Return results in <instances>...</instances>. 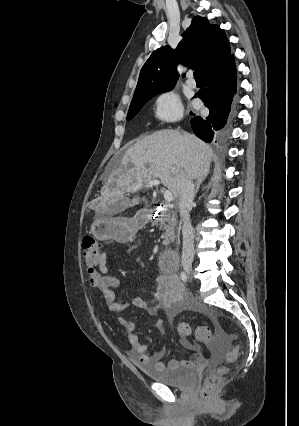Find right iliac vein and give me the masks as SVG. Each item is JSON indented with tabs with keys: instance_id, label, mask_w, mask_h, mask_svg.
Instances as JSON below:
<instances>
[{
	"instance_id": "63e3f726",
	"label": "right iliac vein",
	"mask_w": 299,
	"mask_h": 426,
	"mask_svg": "<svg viewBox=\"0 0 299 426\" xmlns=\"http://www.w3.org/2000/svg\"><path fill=\"white\" fill-rule=\"evenodd\" d=\"M185 271L190 274L191 273V267L189 265L184 266Z\"/></svg>"
}]
</instances>
